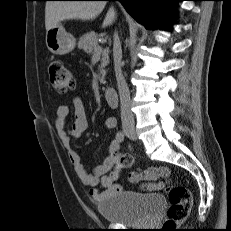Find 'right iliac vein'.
Listing matches in <instances>:
<instances>
[{"label":"right iliac vein","mask_w":231,"mask_h":231,"mask_svg":"<svg viewBox=\"0 0 231 231\" xmlns=\"http://www.w3.org/2000/svg\"><path fill=\"white\" fill-rule=\"evenodd\" d=\"M125 133L129 138H136V132L133 129H125Z\"/></svg>","instance_id":"1"}]
</instances>
